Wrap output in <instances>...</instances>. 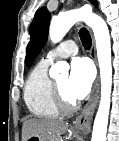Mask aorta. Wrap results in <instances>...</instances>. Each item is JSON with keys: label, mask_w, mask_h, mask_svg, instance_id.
Returning <instances> with one entry per match:
<instances>
[{"label": "aorta", "mask_w": 119, "mask_h": 141, "mask_svg": "<svg viewBox=\"0 0 119 141\" xmlns=\"http://www.w3.org/2000/svg\"><path fill=\"white\" fill-rule=\"evenodd\" d=\"M79 21H84L93 30L100 68L101 99L94 120L91 141H106L112 90L111 43L107 24L91 11L83 8L70 10L52 19L49 37L53 43L61 41L69 29ZM68 70V64L59 61L51 67L50 76L57 78L60 73L67 74Z\"/></svg>", "instance_id": "obj_1"}]
</instances>
